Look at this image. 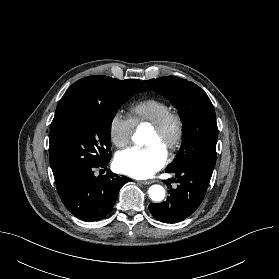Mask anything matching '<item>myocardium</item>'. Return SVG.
<instances>
[{"label":"myocardium","mask_w":279,"mask_h":279,"mask_svg":"<svg viewBox=\"0 0 279 279\" xmlns=\"http://www.w3.org/2000/svg\"><path fill=\"white\" fill-rule=\"evenodd\" d=\"M170 129L174 131V138L167 153L172 155L181 146L184 135V123L181 115L175 110L166 112L160 120L152 125V130L160 135L167 133Z\"/></svg>","instance_id":"1"}]
</instances>
